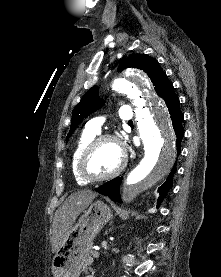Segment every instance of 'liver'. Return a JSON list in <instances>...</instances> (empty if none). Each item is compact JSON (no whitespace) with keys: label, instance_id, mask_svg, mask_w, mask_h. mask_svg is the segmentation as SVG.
<instances>
[{"label":"liver","instance_id":"1","mask_svg":"<svg viewBox=\"0 0 221 277\" xmlns=\"http://www.w3.org/2000/svg\"><path fill=\"white\" fill-rule=\"evenodd\" d=\"M97 195V193L90 190H81L71 194L58 208L54 215L50 237L53 253L57 252L68 237L78 215L92 203Z\"/></svg>","mask_w":221,"mask_h":277}]
</instances>
